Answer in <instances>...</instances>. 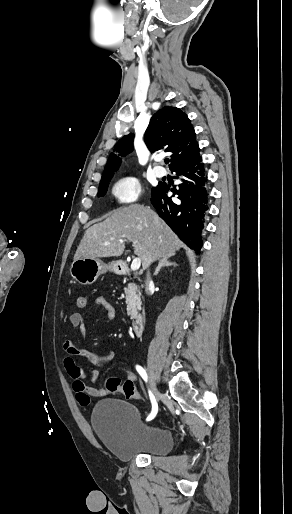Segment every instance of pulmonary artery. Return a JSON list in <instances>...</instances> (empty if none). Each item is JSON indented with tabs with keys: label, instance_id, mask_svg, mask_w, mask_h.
<instances>
[{
	"label": "pulmonary artery",
	"instance_id": "1",
	"mask_svg": "<svg viewBox=\"0 0 292 514\" xmlns=\"http://www.w3.org/2000/svg\"><path fill=\"white\" fill-rule=\"evenodd\" d=\"M154 174L156 175V177L161 178L165 175V172L163 169H155Z\"/></svg>",
	"mask_w": 292,
	"mask_h": 514
}]
</instances>
